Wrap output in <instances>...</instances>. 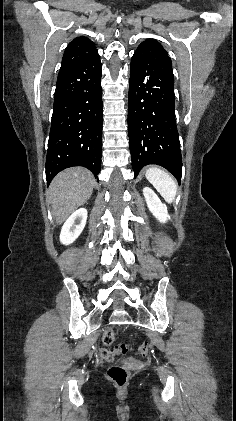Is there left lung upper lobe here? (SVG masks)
<instances>
[{
    "label": "left lung upper lobe",
    "mask_w": 236,
    "mask_h": 421,
    "mask_svg": "<svg viewBox=\"0 0 236 421\" xmlns=\"http://www.w3.org/2000/svg\"><path fill=\"white\" fill-rule=\"evenodd\" d=\"M141 44L160 45L156 40H153V39L146 40L145 42H142Z\"/></svg>",
    "instance_id": "5c2ea615"
}]
</instances>
